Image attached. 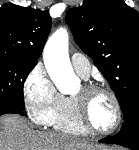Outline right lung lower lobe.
Listing matches in <instances>:
<instances>
[{"instance_id": "1", "label": "right lung lower lobe", "mask_w": 139, "mask_h": 150, "mask_svg": "<svg viewBox=\"0 0 139 150\" xmlns=\"http://www.w3.org/2000/svg\"><path fill=\"white\" fill-rule=\"evenodd\" d=\"M23 110L24 109H21L20 107L14 104L0 103V115L9 113L24 115Z\"/></svg>"}]
</instances>
